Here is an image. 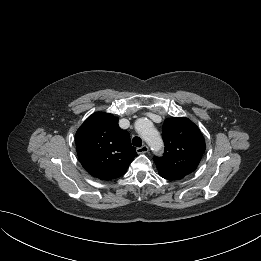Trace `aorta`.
<instances>
[{
  "label": "aorta",
  "instance_id": "1",
  "mask_svg": "<svg viewBox=\"0 0 261 261\" xmlns=\"http://www.w3.org/2000/svg\"><path fill=\"white\" fill-rule=\"evenodd\" d=\"M137 132L144 138L151 150L158 153L163 148V141L158 131L149 120L139 119L135 123Z\"/></svg>",
  "mask_w": 261,
  "mask_h": 261
}]
</instances>
